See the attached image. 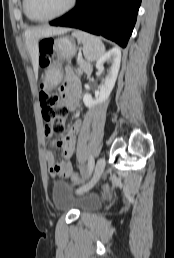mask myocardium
Wrapping results in <instances>:
<instances>
[{
  "mask_svg": "<svg viewBox=\"0 0 174 258\" xmlns=\"http://www.w3.org/2000/svg\"><path fill=\"white\" fill-rule=\"evenodd\" d=\"M28 2L29 0H24V11L26 13V15L33 21H37V22H48V21H51V20H54V19H57L61 16H64L66 15L68 12H70L73 7L75 6L77 0H70L68 5L63 9L61 10L60 12L52 15V16H48V17H45V18H36V17H33L30 12H29V8H28Z\"/></svg>",
  "mask_w": 174,
  "mask_h": 258,
  "instance_id": "1",
  "label": "myocardium"
}]
</instances>
